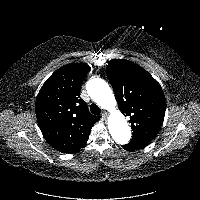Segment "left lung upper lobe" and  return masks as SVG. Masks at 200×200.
<instances>
[{"instance_id":"5c2ea615","label":"left lung upper lobe","mask_w":200,"mask_h":200,"mask_svg":"<svg viewBox=\"0 0 200 200\" xmlns=\"http://www.w3.org/2000/svg\"><path fill=\"white\" fill-rule=\"evenodd\" d=\"M106 75L120 111L130 116L132 150L146 147L160 130L165 115V96L159 83L143 68L125 59L108 62Z\"/></svg>"}]
</instances>
